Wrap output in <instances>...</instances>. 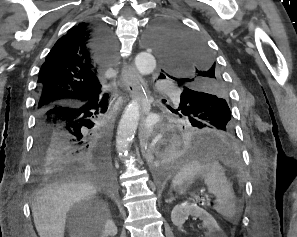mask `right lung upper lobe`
Segmentation results:
<instances>
[{"label":"right lung upper lobe","mask_w":297,"mask_h":237,"mask_svg":"<svg viewBox=\"0 0 297 237\" xmlns=\"http://www.w3.org/2000/svg\"><path fill=\"white\" fill-rule=\"evenodd\" d=\"M97 23H81L60 38L43 63L37 112L56 105H79L99 98L108 50L97 47Z\"/></svg>","instance_id":"cb5924a9"}]
</instances>
